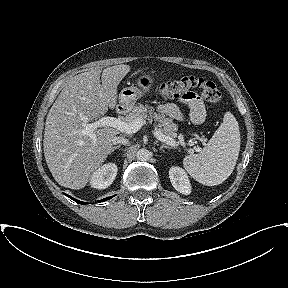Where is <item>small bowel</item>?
Instances as JSON below:
<instances>
[{
	"instance_id": "obj_1",
	"label": "small bowel",
	"mask_w": 288,
	"mask_h": 288,
	"mask_svg": "<svg viewBox=\"0 0 288 288\" xmlns=\"http://www.w3.org/2000/svg\"><path fill=\"white\" fill-rule=\"evenodd\" d=\"M181 102L186 104L191 111V119L195 123L203 122L205 118V110L201 99L194 93L190 92L181 97ZM159 111L177 120H182L183 116L179 107L175 103L161 104Z\"/></svg>"
}]
</instances>
